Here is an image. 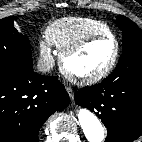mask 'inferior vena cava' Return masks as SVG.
Here are the masks:
<instances>
[{
  "label": "inferior vena cava",
  "mask_w": 142,
  "mask_h": 142,
  "mask_svg": "<svg viewBox=\"0 0 142 142\" xmlns=\"http://www.w3.org/2000/svg\"><path fill=\"white\" fill-rule=\"evenodd\" d=\"M54 67V60L53 59H47V60H40L37 64V69L40 72H47L53 69Z\"/></svg>",
  "instance_id": "inferior-vena-cava-1"
}]
</instances>
